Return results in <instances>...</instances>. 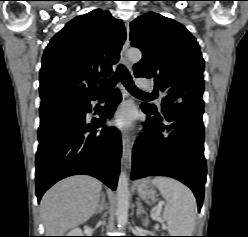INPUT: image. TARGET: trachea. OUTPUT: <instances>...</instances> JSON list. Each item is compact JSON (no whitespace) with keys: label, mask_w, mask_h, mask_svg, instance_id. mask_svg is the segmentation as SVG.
<instances>
[{"label":"trachea","mask_w":248,"mask_h":237,"mask_svg":"<svg viewBox=\"0 0 248 237\" xmlns=\"http://www.w3.org/2000/svg\"><path fill=\"white\" fill-rule=\"evenodd\" d=\"M122 80L123 84L125 85L126 89L135 95H141V96H147L150 97L152 94L145 93L141 90H139L135 85L132 80V77L126 67L124 65H119L117 68L116 73L108 78V79H102V80H97L98 84L101 87L102 92H107V91H112L114 86Z\"/></svg>","instance_id":"obj_1"}]
</instances>
